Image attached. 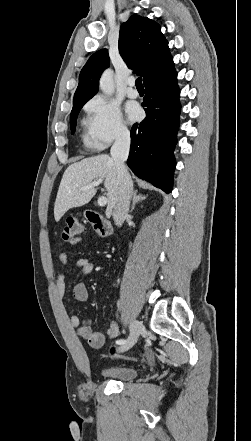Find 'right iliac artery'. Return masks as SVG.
I'll use <instances>...</instances> for the list:
<instances>
[{"label": "right iliac artery", "instance_id": "right-iliac-artery-1", "mask_svg": "<svg viewBox=\"0 0 251 441\" xmlns=\"http://www.w3.org/2000/svg\"><path fill=\"white\" fill-rule=\"evenodd\" d=\"M126 341L127 340H125V339H120V340L117 341V344L123 345L124 343H126Z\"/></svg>", "mask_w": 251, "mask_h": 441}]
</instances>
